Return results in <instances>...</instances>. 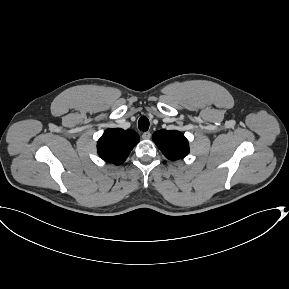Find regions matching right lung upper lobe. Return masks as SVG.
<instances>
[{
    "instance_id": "1",
    "label": "right lung upper lobe",
    "mask_w": 289,
    "mask_h": 289,
    "mask_svg": "<svg viewBox=\"0 0 289 289\" xmlns=\"http://www.w3.org/2000/svg\"><path fill=\"white\" fill-rule=\"evenodd\" d=\"M139 140V135L133 130L109 128L98 140V154L103 160L119 165L125 161Z\"/></svg>"
}]
</instances>
